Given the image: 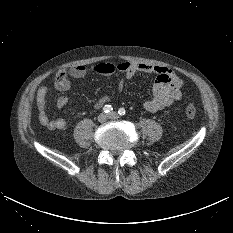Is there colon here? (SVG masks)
Here are the masks:
<instances>
[{
  "mask_svg": "<svg viewBox=\"0 0 233 233\" xmlns=\"http://www.w3.org/2000/svg\"><path fill=\"white\" fill-rule=\"evenodd\" d=\"M196 109L195 107L192 105V104H188L186 107H185V115L187 118L189 119H194L196 117Z\"/></svg>",
  "mask_w": 233,
  "mask_h": 233,
  "instance_id": "5ec220e1",
  "label": "colon"
}]
</instances>
